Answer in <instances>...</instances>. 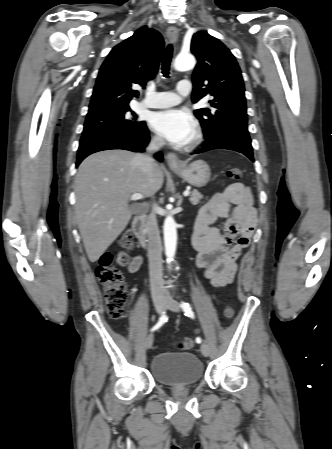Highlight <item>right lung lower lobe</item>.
Returning <instances> with one entry per match:
<instances>
[{
	"mask_svg": "<svg viewBox=\"0 0 332 449\" xmlns=\"http://www.w3.org/2000/svg\"><path fill=\"white\" fill-rule=\"evenodd\" d=\"M149 131L146 127H142L132 133L118 132H99L82 136L78 149L76 166L88 155L110 149H124L134 152H143L149 143ZM155 158L159 161L163 160L161 153L155 154Z\"/></svg>",
	"mask_w": 332,
	"mask_h": 449,
	"instance_id": "98d812e1",
	"label": "right lung lower lobe"
}]
</instances>
